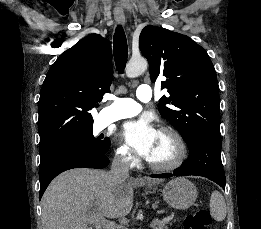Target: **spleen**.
<instances>
[{
  "mask_svg": "<svg viewBox=\"0 0 261 229\" xmlns=\"http://www.w3.org/2000/svg\"><path fill=\"white\" fill-rule=\"evenodd\" d=\"M227 213L225 199L219 191H213L210 199V215L215 221H224Z\"/></svg>",
  "mask_w": 261,
  "mask_h": 229,
  "instance_id": "1",
  "label": "spleen"
}]
</instances>
